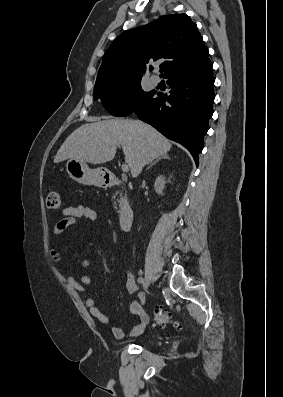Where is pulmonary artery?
Masks as SVG:
<instances>
[{
  "mask_svg": "<svg viewBox=\"0 0 283 397\" xmlns=\"http://www.w3.org/2000/svg\"><path fill=\"white\" fill-rule=\"evenodd\" d=\"M161 81L160 77L158 75H154L151 77V82L155 85L159 84Z\"/></svg>",
  "mask_w": 283,
  "mask_h": 397,
  "instance_id": "e3ab8cb5",
  "label": "pulmonary artery"
}]
</instances>
